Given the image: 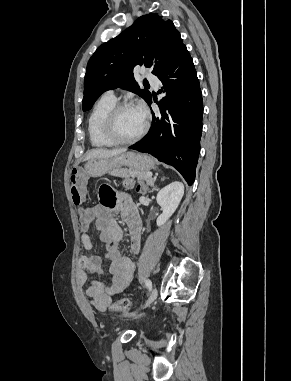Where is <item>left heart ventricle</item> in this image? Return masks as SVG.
<instances>
[{"mask_svg": "<svg viewBox=\"0 0 291 381\" xmlns=\"http://www.w3.org/2000/svg\"><path fill=\"white\" fill-rule=\"evenodd\" d=\"M144 125V119L135 107L122 110L115 121V130L119 137L129 139L137 135Z\"/></svg>", "mask_w": 291, "mask_h": 381, "instance_id": "left-heart-ventricle-1", "label": "left heart ventricle"}]
</instances>
